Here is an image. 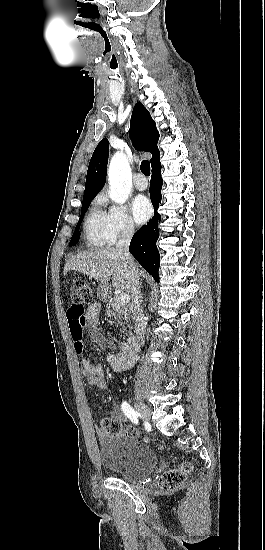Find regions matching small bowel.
<instances>
[{
  "instance_id": "c3829d8e",
  "label": "small bowel",
  "mask_w": 265,
  "mask_h": 550,
  "mask_svg": "<svg viewBox=\"0 0 265 550\" xmlns=\"http://www.w3.org/2000/svg\"><path fill=\"white\" fill-rule=\"evenodd\" d=\"M100 310H101V306L98 302L92 303L86 311L82 328L83 327L87 328L89 335L91 337V340L93 342L100 345H107L108 339L106 335L97 327ZM71 334H72V329H71ZM72 337L74 340L75 353L77 355H83L84 343H85V336L83 335V330L81 332V335L77 337H74L72 335ZM106 358L108 363L111 365V367L115 371H119V372H123L130 369L136 361V355L134 351L130 350L124 344H120L118 348L115 350L108 351L106 354ZM80 368H81L82 374L86 377L88 384L90 386L98 389L107 388V382L105 380V373H104V368L102 364L100 363L94 364L90 362L87 358L82 357ZM110 415L112 418L118 421L125 420V413L123 412L122 408L119 406H114L110 411ZM97 435L102 442H106L108 440V435L102 429H97Z\"/></svg>"
}]
</instances>
